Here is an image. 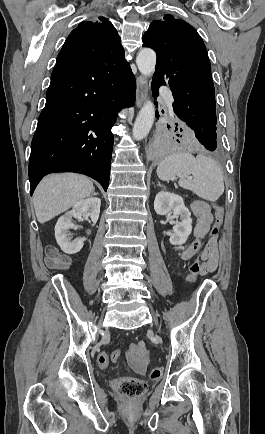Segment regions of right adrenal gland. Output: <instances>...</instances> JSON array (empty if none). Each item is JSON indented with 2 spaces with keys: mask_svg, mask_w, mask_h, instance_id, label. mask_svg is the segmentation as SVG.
Returning a JSON list of instances; mask_svg holds the SVG:
<instances>
[{
  "mask_svg": "<svg viewBox=\"0 0 265 434\" xmlns=\"http://www.w3.org/2000/svg\"><path fill=\"white\" fill-rule=\"evenodd\" d=\"M93 196H98V194H95V192H94Z\"/></svg>",
  "mask_w": 265,
  "mask_h": 434,
  "instance_id": "right-adrenal-gland-1",
  "label": "right adrenal gland"
}]
</instances>
